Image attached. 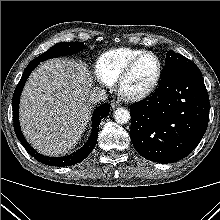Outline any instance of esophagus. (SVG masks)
I'll return each instance as SVG.
<instances>
[{
    "label": "esophagus",
    "mask_w": 220,
    "mask_h": 220,
    "mask_svg": "<svg viewBox=\"0 0 220 220\" xmlns=\"http://www.w3.org/2000/svg\"><path fill=\"white\" fill-rule=\"evenodd\" d=\"M119 106H120V103H119L118 101L113 100V101L111 102V107H112L113 109H115V108H117V107H119Z\"/></svg>",
    "instance_id": "obj_1"
}]
</instances>
